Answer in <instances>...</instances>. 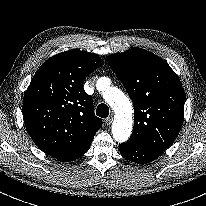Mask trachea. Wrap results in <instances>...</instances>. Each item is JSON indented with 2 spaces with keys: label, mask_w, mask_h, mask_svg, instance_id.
Instances as JSON below:
<instances>
[{
  "label": "trachea",
  "mask_w": 206,
  "mask_h": 206,
  "mask_svg": "<svg viewBox=\"0 0 206 206\" xmlns=\"http://www.w3.org/2000/svg\"><path fill=\"white\" fill-rule=\"evenodd\" d=\"M96 115L101 118H106L109 115V108L106 104L101 103L98 105L96 109Z\"/></svg>",
  "instance_id": "3493384b"
}]
</instances>
